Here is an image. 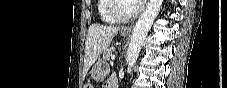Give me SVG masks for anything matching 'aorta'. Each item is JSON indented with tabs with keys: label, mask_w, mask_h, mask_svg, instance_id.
<instances>
[{
	"label": "aorta",
	"mask_w": 227,
	"mask_h": 88,
	"mask_svg": "<svg viewBox=\"0 0 227 88\" xmlns=\"http://www.w3.org/2000/svg\"><path fill=\"white\" fill-rule=\"evenodd\" d=\"M163 0H149L143 14L138 19L131 37V41L127 51V71H131L136 63L144 40L156 19Z\"/></svg>",
	"instance_id": "obj_1"
}]
</instances>
